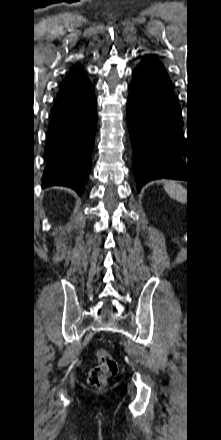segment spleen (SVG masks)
<instances>
[{
    "label": "spleen",
    "instance_id": "spleen-1",
    "mask_svg": "<svg viewBox=\"0 0 221 440\" xmlns=\"http://www.w3.org/2000/svg\"><path fill=\"white\" fill-rule=\"evenodd\" d=\"M164 189L171 198L179 202H185L186 189L176 181L173 180L166 181L164 184Z\"/></svg>",
    "mask_w": 221,
    "mask_h": 440
}]
</instances>
